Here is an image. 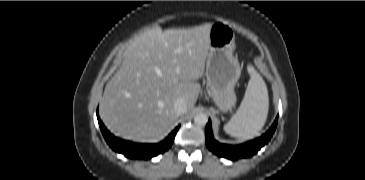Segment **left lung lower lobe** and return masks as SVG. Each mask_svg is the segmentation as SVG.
<instances>
[{
    "mask_svg": "<svg viewBox=\"0 0 365 180\" xmlns=\"http://www.w3.org/2000/svg\"><path fill=\"white\" fill-rule=\"evenodd\" d=\"M278 122V117L275 119L271 128L261 137L247 142L238 146H230L225 144H220L213 138V133L211 129V121L209 120L205 129L206 145L213 153L218 156L225 157L231 160H236L239 158L250 157L258 152L261 147L268 143L271 139Z\"/></svg>",
    "mask_w": 365,
    "mask_h": 180,
    "instance_id": "0a47b994",
    "label": "left lung lower lobe"
}]
</instances>
